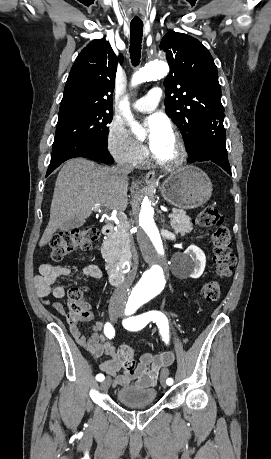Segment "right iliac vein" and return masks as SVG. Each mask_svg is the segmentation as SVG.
Instances as JSON below:
<instances>
[{"label": "right iliac vein", "instance_id": "1", "mask_svg": "<svg viewBox=\"0 0 271 459\" xmlns=\"http://www.w3.org/2000/svg\"><path fill=\"white\" fill-rule=\"evenodd\" d=\"M122 313H123V310L121 308L112 309L110 311V315L114 320H116ZM110 384H111V378L107 377L100 384V389L103 391H106L109 388Z\"/></svg>", "mask_w": 271, "mask_h": 459}]
</instances>
